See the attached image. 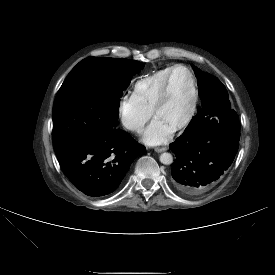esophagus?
Returning <instances> with one entry per match:
<instances>
[{"label":"esophagus","instance_id":"34e87169","mask_svg":"<svg viewBox=\"0 0 275 275\" xmlns=\"http://www.w3.org/2000/svg\"><path fill=\"white\" fill-rule=\"evenodd\" d=\"M167 150V147H157V148H155V151L157 152V153H161V152H164V151H166Z\"/></svg>","mask_w":275,"mask_h":275}]
</instances>
